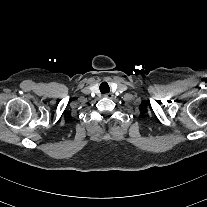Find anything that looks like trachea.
<instances>
[{
  "instance_id": "1",
  "label": "trachea",
  "mask_w": 207,
  "mask_h": 207,
  "mask_svg": "<svg viewBox=\"0 0 207 207\" xmlns=\"http://www.w3.org/2000/svg\"><path fill=\"white\" fill-rule=\"evenodd\" d=\"M100 91H101V93H106V92L110 91V88H109V85L107 82H102L100 84Z\"/></svg>"
}]
</instances>
